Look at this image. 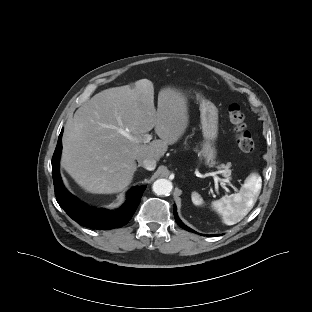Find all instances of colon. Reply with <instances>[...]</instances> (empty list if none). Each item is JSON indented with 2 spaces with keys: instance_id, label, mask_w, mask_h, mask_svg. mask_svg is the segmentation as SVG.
<instances>
[{
  "instance_id": "obj_1",
  "label": "colon",
  "mask_w": 312,
  "mask_h": 312,
  "mask_svg": "<svg viewBox=\"0 0 312 312\" xmlns=\"http://www.w3.org/2000/svg\"><path fill=\"white\" fill-rule=\"evenodd\" d=\"M228 118L235 132L237 146L241 151L251 153L254 150V140L247 129L245 116L239 104L232 103L228 107Z\"/></svg>"
}]
</instances>
